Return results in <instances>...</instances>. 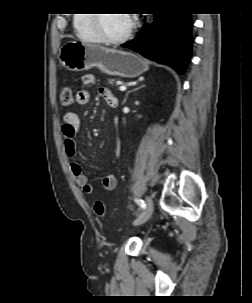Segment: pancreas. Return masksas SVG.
Listing matches in <instances>:
<instances>
[{
    "label": "pancreas",
    "instance_id": "pancreas-1",
    "mask_svg": "<svg viewBox=\"0 0 252 303\" xmlns=\"http://www.w3.org/2000/svg\"><path fill=\"white\" fill-rule=\"evenodd\" d=\"M113 82H114V79H109V80H108V83H109L110 85H113Z\"/></svg>",
    "mask_w": 252,
    "mask_h": 303
}]
</instances>
